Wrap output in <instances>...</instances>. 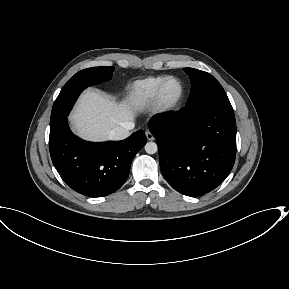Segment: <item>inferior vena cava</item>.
<instances>
[{"mask_svg":"<svg viewBox=\"0 0 289 289\" xmlns=\"http://www.w3.org/2000/svg\"><path fill=\"white\" fill-rule=\"evenodd\" d=\"M134 128L133 122L123 123L122 126L116 127L109 133V138L112 140H122L130 135V130Z\"/></svg>","mask_w":289,"mask_h":289,"instance_id":"602c4592","label":"inferior vena cava"}]
</instances>
